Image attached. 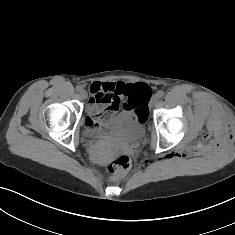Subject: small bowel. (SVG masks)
Returning <instances> with one entry per match:
<instances>
[{"mask_svg": "<svg viewBox=\"0 0 235 235\" xmlns=\"http://www.w3.org/2000/svg\"><path fill=\"white\" fill-rule=\"evenodd\" d=\"M135 84L123 82H94L89 90L91 97L88 105V117L93 116L104 109H109L113 115L123 106L125 112L131 111L121 100L127 97V90Z\"/></svg>", "mask_w": 235, "mask_h": 235, "instance_id": "c3829d8e", "label": "small bowel"}]
</instances>
